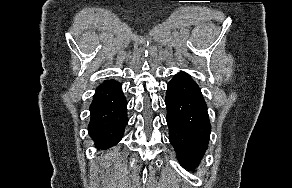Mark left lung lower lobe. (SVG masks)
<instances>
[{
  "mask_svg": "<svg viewBox=\"0 0 292 188\" xmlns=\"http://www.w3.org/2000/svg\"><path fill=\"white\" fill-rule=\"evenodd\" d=\"M165 104L169 141L179 163L194 170L207 149L211 131L202 93L187 73L180 72L168 83Z\"/></svg>",
  "mask_w": 292,
  "mask_h": 188,
  "instance_id": "obj_1",
  "label": "left lung lower lobe"
}]
</instances>
